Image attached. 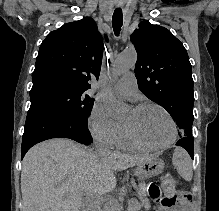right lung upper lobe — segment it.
I'll return each mask as SVG.
<instances>
[{"mask_svg":"<svg viewBox=\"0 0 219 211\" xmlns=\"http://www.w3.org/2000/svg\"><path fill=\"white\" fill-rule=\"evenodd\" d=\"M103 50V38L90 17L50 32L38 52L31 92L50 84L91 88L88 82L99 78Z\"/></svg>","mask_w":219,"mask_h":211,"instance_id":"1","label":"right lung upper lobe"}]
</instances>
